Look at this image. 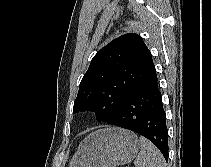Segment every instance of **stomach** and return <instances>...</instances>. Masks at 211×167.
<instances>
[{"mask_svg": "<svg viewBox=\"0 0 211 167\" xmlns=\"http://www.w3.org/2000/svg\"><path fill=\"white\" fill-rule=\"evenodd\" d=\"M135 133L106 128L89 134L79 145L69 167H117L131 162L139 151Z\"/></svg>", "mask_w": 211, "mask_h": 167, "instance_id": "obj_1", "label": "stomach"}]
</instances>
